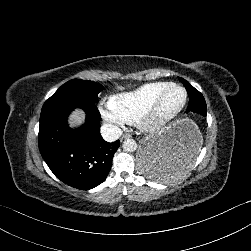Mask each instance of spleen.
<instances>
[{
    "instance_id": "1",
    "label": "spleen",
    "mask_w": 251,
    "mask_h": 251,
    "mask_svg": "<svg viewBox=\"0 0 251 251\" xmlns=\"http://www.w3.org/2000/svg\"><path fill=\"white\" fill-rule=\"evenodd\" d=\"M193 154L194 153L186 154L184 159L180 161L177 169L178 174H171L168 167H165L162 164L153 163L149 164V175L147 177L157 181L176 179L189 170L194 164V159L192 158Z\"/></svg>"
}]
</instances>
